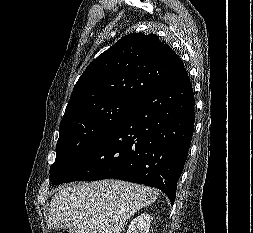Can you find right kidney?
I'll use <instances>...</instances> for the list:
<instances>
[{"label":"right kidney","mask_w":253,"mask_h":233,"mask_svg":"<svg viewBox=\"0 0 253 233\" xmlns=\"http://www.w3.org/2000/svg\"><path fill=\"white\" fill-rule=\"evenodd\" d=\"M150 224L151 216L143 213L131 221L127 233H149Z\"/></svg>","instance_id":"1"}]
</instances>
